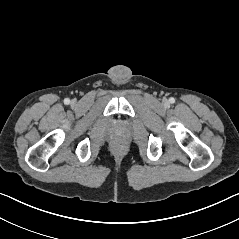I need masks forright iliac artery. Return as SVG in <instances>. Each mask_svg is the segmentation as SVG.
<instances>
[{"label":"right iliac artery","instance_id":"right-iliac-artery-1","mask_svg":"<svg viewBox=\"0 0 239 239\" xmlns=\"http://www.w3.org/2000/svg\"><path fill=\"white\" fill-rule=\"evenodd\" d=\"M64 103H65L66 105H68V104L70 103V99H68V98L64 99Z\"/></svg>","mask_w":239,"mask_h":239}]
</instances>
